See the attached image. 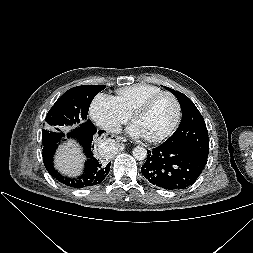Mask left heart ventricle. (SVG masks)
Returning a JSON list of instances; mask_svg holds the SVG:
<instances>
[{
    "label": "left heart ventricle",
    "mask_w": 253,
    "mask_h": 253,
    "mask_svg": "<svg viewBox=\"0 0 253 253\" xmlns=\"http://www.w3.org/2000/svg\"><path fill=\"white\" fill-rule=\"evenodd\" d=\"M176 109L169 96L158 99L152 107L135 120L146 137H157L166 132L175 119Z\"/></svg>",
    "instance_id": "1"
}]
</instances>
